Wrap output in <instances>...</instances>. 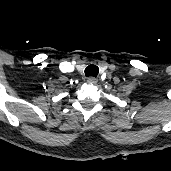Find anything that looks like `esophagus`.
<instances>
[{"mask_svg": "<svg viewBox=\"0 0 171 171\" xmlns=\"http://www.w3.org/2000/svg\"><path fill=\"white\" fill-rule=\"evenodd\" d=\"M87 82H88L89 84L94 85V84L97 83V78L91 76V77H89V78L87 79Z\"/></svg>", "mask_w": 171, "mask_h": 171, "instance_id": "esophagus-1", "label": "esophagus"}]
</instances>
